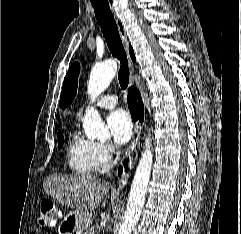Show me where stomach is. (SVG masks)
I'll list each match as a JSON object with an SVG mask.
<instances>
[{
    "label": "stomach",
    "instance_id": "stomach-1",
    "mask_svg": "<svg viewBox=\"0 0 241 234\" xmlns=\"http://www.w3.org/2000/svg\"><path fill=\"white\" fill-rule=\"evenodd\" d=\"M88 228V214L82 210L70 212L60 225L61 234H84Z\"/></svg>",
    "mask_w": 241,
    "mask_h": 234
}]
</instances>
